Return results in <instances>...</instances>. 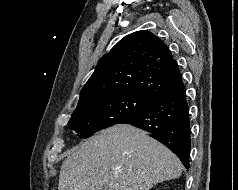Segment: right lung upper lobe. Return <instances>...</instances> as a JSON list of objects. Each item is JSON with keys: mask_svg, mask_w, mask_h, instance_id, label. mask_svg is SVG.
I'll use <instances>...</instances> for the list:
<instances>
[{"mask_svg": "<svg viewBox=\"0 0 238 190\" xmlns=\"http://www.w3.org/2000/svg\"><path fill=\"white\" fill-rule=\"evenodd\" d=\"M181 79L178 64L163 41L149 31H137L99 60L78 103L116 94L154 101Z\"/></svg>", "mask_w": 238, "mask_h": 190, "instance_id": "1", "label": "right lung upper lobe"}]
</instances>
